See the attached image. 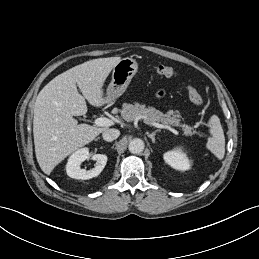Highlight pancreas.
Masks as SVG:
<instances>
[{
	"label": "pancreas",
	"instance_id": "obj_1",
	"mask_svg": "<svg viewBox=\"0 0 259 259\" xmlns=\"http://www.w3.org/2000/svg\"><path fill=\"white\" fill-rule=\"evenodd\" d=\"M121 116L126 121H134L139 118H145L149 121L168 126L178 125L180 121V113L178 111L170 110L163 114L161 111L152 106L147 108L144 104L139 103H135L134 105L124 103L121 110ZM184 132L186 134H191V127L186 125L184 127Z\"/></svg>",
	"mask_w": 259,
	"mask_h": 259
}]
</instances>
